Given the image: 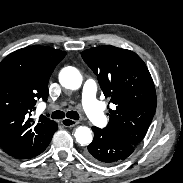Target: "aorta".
Masks as SVG:
<instances>
[{
  "label": "aorta",
  "mask_w": 183,
  "mask_h": 183,
  "mask_svg": "<svg viewBox=\"0 0 183 183\" xmlns=\"http://www.w3.org/2000/svg\"><path fill=\"white\" fill-rule=\"evenodd\" d=\"M82 81V75L75 67L68 66L60 71L59 82L64 88L71 90L79 89ZM74 136L78 143L84 145L91 143L93 139L90 128L85 126L78 127L74 133Z\"/></svg>",
  "instance_id": "aorta-1"
}]
</instances>
